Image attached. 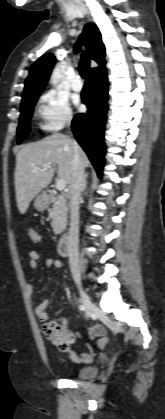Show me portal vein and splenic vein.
Wrapping results in <instances>:
<instances>
[{"label":"portal vein and splenic vein","instance_id":"18ae733b","mask_svg":"<svg viewBox=\"0 0 165 419\" xmlns=\"http://www.w3.org/2000/svg\"><path fill=\"white\" fill-rule=\"evenodd\" d=\"M50 165H51L50 163H45V164L42 165V167L47 168V167H50ZM38 170H39V168L38 167H35L34 170H33V172L36 173ZM65 186H66V182H65L64 179H58L56 181V188H57V190H64L65 189Z\"/></svg>","mask_w":165,"mask_h":419}]
</instances>
